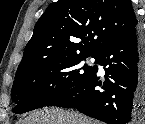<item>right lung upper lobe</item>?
<instances>
[{"mask_svg": "<svg viewBox=\"0 0 145 124\" xmlns=\"http://www.w3.org/2000/svg\"><path fill=\"white\" fill-rule=\"evenodd\" d=\"M137 25L131 0H58L36 23L15 78L46 60L97 55Z\"/></svg>", "mask_w": 145, "mask_h": 124, "instance_id": "1", "label": "right lung upper lobe"}]
</instances>
